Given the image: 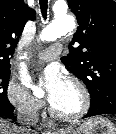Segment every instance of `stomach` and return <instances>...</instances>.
Wrapping results in <instances>:
<instances>
[{
  "instance_id": "stomach-1",
  "label": "stomach",
  "mask_w": 116,
  "mask_h": 134,
  "mask_svg": "<svg viewBox=\"0 0 116 134\" xmlns=\"http://www.w3.org/2000/svg\"><path fill=\"white\" fill-rule=\"evenodd\" d=\"M61 134H116V128L108 119L95 117L86 120L77 128H67Z\"/></svg>"
}]
</instances>
